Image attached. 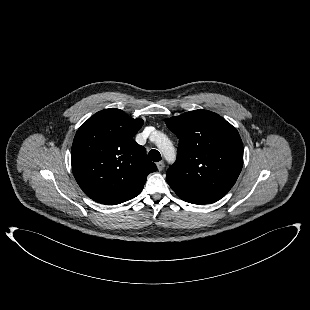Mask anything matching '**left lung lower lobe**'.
Listing matches in <instances>:
<instances>
[{
  "mask_svg": "<svg viewBox=\"0 0 310 310\" xmlns=\"http://www.w3.org/2000/svg\"><path fill=\"white\" fill-rule=\"evenodd\" d=\"M184 201H187L189 203H193V204H206V203H203V202H195V201H191V200H186V199H183Z\"/></svg>",
  "mask_w": 310,
  "mask_h": 310,
  "instance_id": "left-lung-lower-lobe-1",
  "label": "left lung lower lobe"
}]
</instances>
